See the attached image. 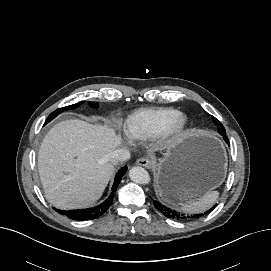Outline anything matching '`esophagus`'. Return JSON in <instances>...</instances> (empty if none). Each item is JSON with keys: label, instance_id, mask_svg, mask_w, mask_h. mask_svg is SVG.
I'll use <instances>...</instances> for the list:
<instances>
[{"label": "esophagus", "instance_id": "34e87169", "mask_svg": "<svg viewBox=\"0 0 271 271\" xmlns=\"http://www.w3.org/2000/svg\"><path fill=\"white\" fill-rule=\"evenodd\" d=\"M137 165L150 169L153 166L152 161L149 158H140L137 160Z\"/></svg>", "mask_w": 271, "mask_h": 271}]
</instances>
